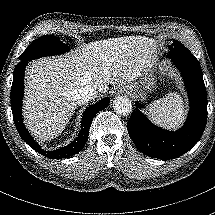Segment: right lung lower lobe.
<instances>
[{"instance_id":"right-lung-lower-lobe-1","label":"right lung lower lobe","mask_w":215,"mask_h":215,"mask_svg":"<svg viewBox=\"0 0 215 215\" xmlns=\"http://www.w3.org/2000/svg\"><path fill=\"white\" fill-rule=\"evenodd\" d=\"M28 62L20 61L15 69L13 75V84L11 87V108L14 123L18 133L20 134L21 138L36 152L42 154L49 159H61V158H68L77 154L82 150L84 147L88 135L89 129L92 123L94 116L101 110L107 107L110 102L108 97L101 99L94 105L88 107L82 116L81 121V130L78 137L68 144L65 147L60 149H56L53 151H46L42 149L36 142L33 140L31 135L28 133L27 129L23 124V117L21 113V104L24 95V71Z\"/></svg>"}]
</instances>
